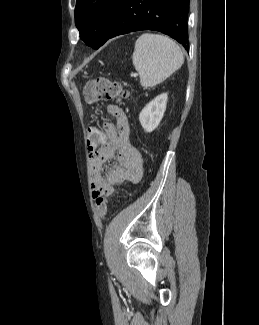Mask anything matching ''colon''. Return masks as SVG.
<instances>
[{"mask_svg":"<svg viewBox=\"0 0 259 325\" xmlns=\"http://www.w3.org/2000/svg\"><path fill=\"white\" fill-rule=\"evenodd\" d=\"M84 98L89 103H97L103 98L109 100H124L128 97L127 90L118 81L107 77H97L89 80L83 90ZM89 135L86 136L88 149H99L101 136L96 135L97 125H88ZM97 213L101 218H104L110 208L109 200L103 196L96 199Z\"/></svg>","mask_w":259,"mask_h":325,"instance_id":"obj_1","label":"colon"}]
</instances>
